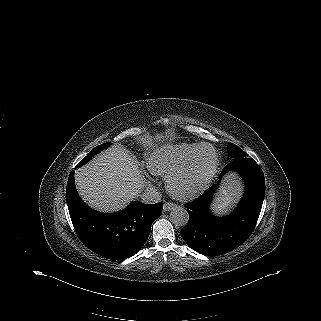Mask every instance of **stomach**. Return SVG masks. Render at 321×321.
<instances>
[{
	"label": "stomach",
	"instance_id": "obj_1",
	"mask_svg": "<svg viewBox=\"0 0 321 321\" xmlns=\"http://www.w3.org/2000/svg\"><path fill=\"white\" fill-rule=\"evenodd\" d=\"M226 189H228V191L225 190V192H230V193H233V192H234V191H233V188H232L231 186H228Z\"/></svg>",
	"mask_w": 321,
	"mask_h": 321
}]
</instances>
